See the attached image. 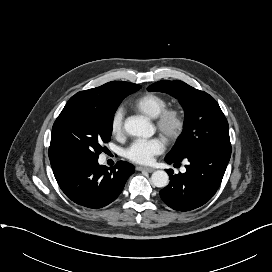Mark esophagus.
Returning a JSON list of instances; mask_svg holds the SVG:
<instances>
[{"mask_svg":"<svg viewBox=\"0 0 272 272\" xmlns=\"http://www.w3.org/2000/svg\"><path fill=\"white\" fill-rule=\"evenodd\" d=\"M136 169H137L138 171H146V172H149V173H151V172L154 171L153 168H150V167H143V166H138Z\"/></svg>","mask_w":272,"mask_h":272,"instance_id":"esophagus-1","label":"esophagus"}]
</instances>
